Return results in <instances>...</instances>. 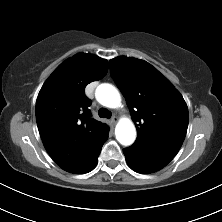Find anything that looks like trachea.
Instances as JSON below:
<instances>
[{"mask_svg":"<svg viewBox=\"0 0 222 222\" xmlns=\"http://www.w3.org/2000/svg\"><path fill=\"white\" fill-rule=\"evenodd\" d=\"M98 114L101 118H110L111 117V112L108 111L107 109H104V108L99 109Z\"/></svg>","mask_w":222,"mask_h":222,"instance_id":"obj_1","label":"trachea"}]
</instances>
